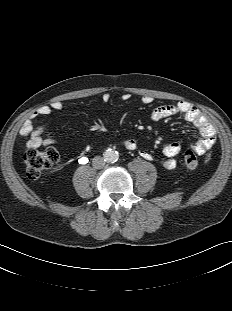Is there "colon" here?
Segmentation results:
<instances>
[{
    "label": "colon",
    "mask_w": 232,
    "mask_h": 311,
    "mask_svg": "<svg viewBox=\"0 0 232 311\" xmlns=\"http://www.w3.org/2000/svg\"><path fill=\"white\" fill-rule=\"evenodd\" d=\"M60 159V152L55 147L45 150H28L24 153L26 175L29 179L39 178L46 170L53 167ZM184 165L188 169H195L198 166V156L194 150H187L184 153Z\"/></svg>",
    "instance_id": "5ec220e1"
}]
</instances>
